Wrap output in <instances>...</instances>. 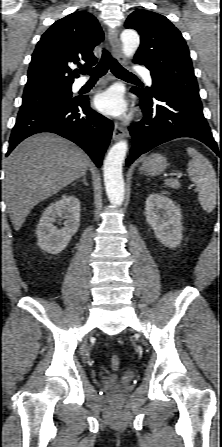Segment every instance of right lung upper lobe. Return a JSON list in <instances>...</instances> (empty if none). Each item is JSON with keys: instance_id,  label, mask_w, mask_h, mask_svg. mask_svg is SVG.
<instances>
[{"instance_id": "right-lung-upper-lobe-1", "label": "right lung upper lobe", "mask_w": 222, "mask_h": 447, "mask_svg": "<svg viewBox=\"0 0 222 447\" xmlns=\"http://www.w3.org/2000/svg\"><path fill=\"white\" fill-rule=\"evenodd\" d=\"M103 39L97 19L88 12H74L56 21L36 45L24 94L71 87L78 75L69 65H94L93 48Z\"/></svg>"}]
</instances>
